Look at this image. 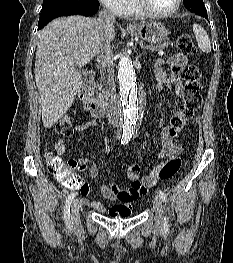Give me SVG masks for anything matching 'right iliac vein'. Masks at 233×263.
I'll list each match as a JSON object with an SVG mask.
<instances>
[{
	"mask_svg": "<svg viewBox=\"0 0 233 263\" xmlns=\"http://www.w3.org/2000/svg\"><path fill=\"white\" fill-rule=\"evenodd\" d=\"M80 207L81 203L79 202L78 199L74 200L71 206V221L74 225H79L80 223Z\"/></svg>",
	"mask_w": 233,
	"mask_h": 263,
	"instance_id": "63e3f726",
	"label": "right iliac vein"
}]
</instances>
